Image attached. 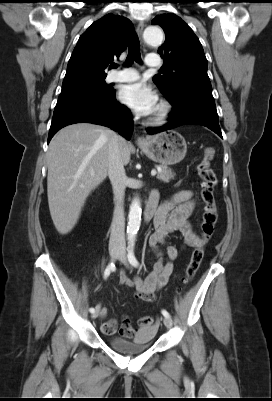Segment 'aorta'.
<instances>
[{
  "label": "aorta",
  "instance_id": "762f6f07",
  "mask_svg": "<svg viewBox=\"0 0 272 401\" xmlns=\"http://www.w3.org/2000/svg\"><path fill=\"white\" fill-rule=\"evenodd\" d=\"M144 40L150 45H160L163 42V31L160 27L149 26L143 34ZM141 203L138 198H134L131 202L129 214L127 235L128 239L134 240L141 224Z\"/></svg>",
  "mask_w": 272,
  "mask_h": 401
}]
</instances>
